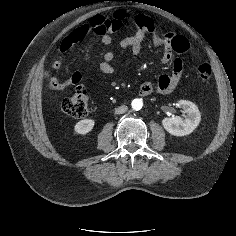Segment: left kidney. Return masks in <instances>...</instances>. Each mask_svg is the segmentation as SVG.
<instances>
[{"mask_svg":"<svg viewBox=\"0 0 236 236\" xmlns=\"http://www.w3.org/2000/svg\"><path fill=\"white\" fill-rule=\"evenodd\" d=\"M178 105L187 114L184 119L179 116L164 118L162 121L164 129L174 136H185L192 133L201 121V114L198 107L186 100H180Z\"/></svg>","mask_w":236,"mask_h":236,"instance_id":"1","label":"left kidney"}]
</instances>
